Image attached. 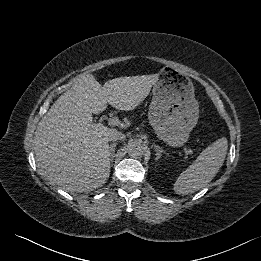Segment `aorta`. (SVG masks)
<instances>
[{
  "mask_svg": "<svg viewBox=\"0 0 261 261\" xmlns=\"http://www.w3.org/2000/svg\"><path fill=\"white\" fill-rule=\"evenodd\" d=\"M128 153L132 158H141L144 155V147L140 142L134 141L129 144Z\"/></svg>",
  "mask_w": 261,
  "mask_h": 261,
  "instance_id": "aorta-1",
  "label": "aorta"
}]
</instances>
